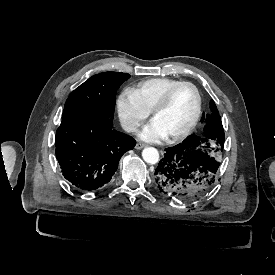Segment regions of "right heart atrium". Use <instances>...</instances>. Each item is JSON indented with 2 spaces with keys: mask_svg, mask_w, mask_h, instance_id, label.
Instances as JSON below:
<instances>
[{
  "mask_svg": "<svg viewBox=\"0 0 275 275\" xmlns=\"http://www.w3.org/2000/svg\"><path fill=\"white\" fill-rule=\"evenodd\" d=\"M117 105L122 125L128 132L136 131L150 115V111L141 103L133 90L123 91Z\"/></svg>",
  "mask_w": 275,
  "mask_h": 275,
  "instance_id": "obj_1",
  "label": "right heart atrium"
}]
</instances>
